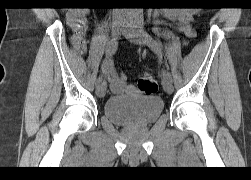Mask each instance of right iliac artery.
Listing matches in <instances>:
<instances>
[{"instance_id":"right-iliac-artery-1","label":"right iliac artery","mask_w":251,"mask_h":180,"mask_svg":"<svg viewBox=\"0 0 251 180\" xmlns=\"http://www.w3.org/2000/svg\"><path fill=\"white\" fill-rule=\"evenodd\" d=\"M118 46V42L116 40H110L108 41L106 47H105V55H106V62L111 61V57L116 52ZM102 82V75L98 77L96 81V86H98Z\"/></svg>"}]
</instances>
